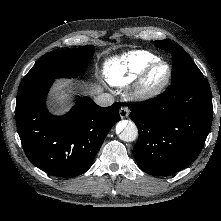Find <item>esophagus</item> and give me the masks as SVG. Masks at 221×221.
I'll return each instance as SVG.
<instances>
[{
    "instance_id": "1",
    "label": "esophagus",
    "mask_w": 221,
    "mask_h": 221,
    "mask_svg": "<svg viewBox=\"0 0 221 221\" xmlns=\"http://www.w3.org/2000/svg\"><path fill=\"white\" fill-rule=\"evenodd\" d=\"M119 115L122 119L127 118L129 116V109L126 106H121Z\"/></svg>"
}]
</instances>
